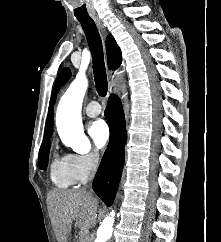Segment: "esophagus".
Here are the masks:
<instances>
[{"label":"esophagus","instance_id":"34e87169","mask_svg":"<svg viewBox=\"0 0 221 242\" xmlns=\"http://www.w3.org/2000/svg\"><path fill=\"white\" fill-rule=\"evenodd\" d=\"M95 21L97 23L98 28L101 30V32L104 34L105 33V27L104 24L100 21V19L95 18ZM111 90V89H110Z\"/></svg>","mask_w":221,"mask_h":242}]
</instances>
